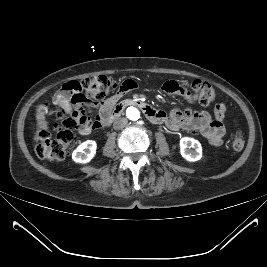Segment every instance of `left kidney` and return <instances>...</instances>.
<instances>
[{
    "mask_svg": "<svg viewBox=\"0 0 267 267\" xmlns=\"http://www.w3.org/2000/svg\"><path fill=\"white\" fill-rule=\"evenodd\" d=\"M180 153L189 162L198 161L202 157L201 144L194 138L183 137L180 139Z\"/></svg>",
    "mask_w": 267,
    "mask_h": 267,
    "instance_id": "5707ae66",
    "label": "left kidney"
}]
</instances>
